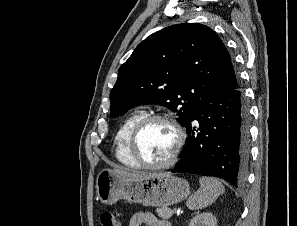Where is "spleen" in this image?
I'll return each instance as SVG.
<instances>
[{"label": "spleen", "mask_w": 297, "mask_h": 226, "mask_svg": "<svg viewBox=\"0 0 297 226\" xmlns=\"http://www.w3.org/2000/svg\"><path fill=\"white\" fill-rule=\"evenodd\" d=\"M199 182L200 188L189 197L186 203L190 210H199L211 205L225 192L222 183L215 178L201 177Z\"/></svg>", "instance_id": "spleen-1"}]
</instances>
